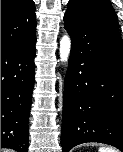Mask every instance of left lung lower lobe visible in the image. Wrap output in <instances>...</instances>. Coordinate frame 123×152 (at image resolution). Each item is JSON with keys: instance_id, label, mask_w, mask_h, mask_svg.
<instances>
[{"instance_id": "1", "label": "left lung lower lobe", "mask_w": 123, "mask_h": 152, "mask_svg": "<svg viewBox=\"0 0 123 152\" xmlns=\"http://www.w3.org/2000/svg\"><path fill=\"white\" fill-rule=\"evenodd\" d=\"M72 39L65 77L63 152L100 142L123 152V41L118 31L81 9L66 11Z\"/></svg>"}]
</instances>
